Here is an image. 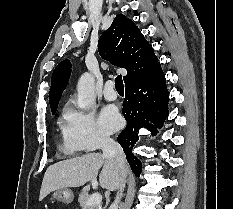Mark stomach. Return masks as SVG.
Wrapping results in <instances>:
<instances>
[{
  "label": "stomach",
  "mask_w": 233,
  "mask_h": 209,
  "mask_svg": "<svg viewBox=\"0 0 233 209\" xmlns=\"http://www.w3.org/2000/svg\"><path fill=\"white\" fill-rule=\"evenodd\" d=\"M50 198L51 200H57L64 204H70L74 200V194L70 189L64 188L53 191Z\"/></svg>",
  "instance_id": "stomach-1"
}]
</instances>
